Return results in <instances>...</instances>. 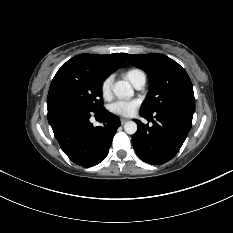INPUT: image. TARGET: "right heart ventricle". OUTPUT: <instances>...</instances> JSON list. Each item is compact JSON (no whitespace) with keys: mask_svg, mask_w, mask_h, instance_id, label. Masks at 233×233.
Wrapping results in <instances>:
<instances>
[{"mask_svg":"<svg viewBox=\"0 0 233 233\" xmlns=\"http://www.w3.org/2000/svg\"><path fill=\"white\" fill-rule=\"evenodd\" d=\"M124 76L135 86L140 80L145 79V73L139 68H130Z\"/></svg>","mask_w":233,"mask_h":233,"instance_id":"1","label":"right heart ventricle"}]
</instances>
